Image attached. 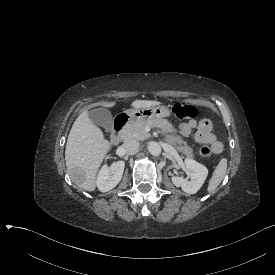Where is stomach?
Segmentation results:
<instances>
[{"mask_svg":"<svg viewBox=\"0 0 275 275\" xmlns=\"http://www.w3.org/2000/svg\"><path fill=\"white\" fill-rule=\"evenodd\" d=\"M125 112L132 120L160 119L170 116V110L166 106L132 108Z\"/></svg>","mask_w":275,"mask_h":275,"instance_id":"obj_1","label":"stomach"}]
</instances>
